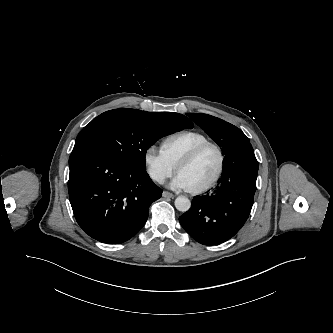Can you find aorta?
Segmentation results:
<instances>
[{
	"label": "aorta",
	"mask_w": 333,
	"mask_h": 333,
	"mask_svg": "<svg viewBox=\"0 0 333 333\" xmlns=\"http://www.w3.org/2000/svg\"><path fill=\"white\" fill-rule=\"evenodd\" d=\"M175 207L181 212H186L191 207L190 200L185 196H179L175 199Z\"/></svg>",
	"instance_id": "aorta-1"
}]
</instances>
